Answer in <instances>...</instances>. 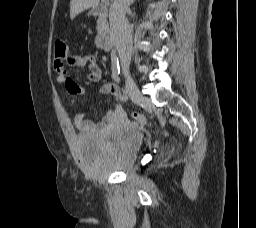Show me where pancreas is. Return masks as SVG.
Masks as SVG:
<instances>
[{"label":"pancreas","mask_w":256,"mask_h":228,"mask_svg":"<svg viewBox=\"0 0 256 228\" xmlns=\"http://www.w3.org/2000/svg\"><path fill=\"white\" fill-rule=\"evenodd\" d=\"M97 29L100 31L102 29H107L108 24H107V14H103L97 21Z\"/></svg>","instance_id":"1"}]
</instances>
